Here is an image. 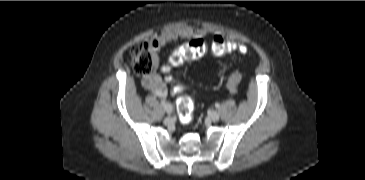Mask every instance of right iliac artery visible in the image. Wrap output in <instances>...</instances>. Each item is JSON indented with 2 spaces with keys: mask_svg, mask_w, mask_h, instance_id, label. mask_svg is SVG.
<instances>
[{
  "mask_svg": "<svg viewBox=\"0 0 365 180\" xmlns=\"http://www.w3.org/2000/svg\"><path fill=\"white\" fill-rule=\"evenodd\" d=\"M161 104H162L163 106H165L167 103H166V101H165V100H162V101H161Z\"/></svg>",
  "mask_w": 365,
  "mask_h": 180,
  "instance_id": "obj_1",
  "label": "right iliac artery"
}]
</instances>
